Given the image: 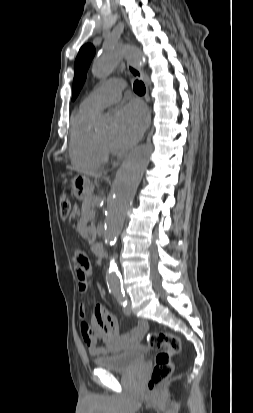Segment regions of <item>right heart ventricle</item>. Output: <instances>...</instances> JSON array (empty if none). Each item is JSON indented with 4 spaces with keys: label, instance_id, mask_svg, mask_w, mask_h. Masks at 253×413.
<instances>
[{
    "label": "right heart ventricle",
    "instance_id": "e07e8e85",
    "mask_svg": "<svg viewBox=\"0 0 253 413\" xmlns=\"http://www.w3.org/2000/svg\"><path fill=\"white\" fill-rule=\"evenodd\" d=\"M96 114L81 106L71 118L69 156L77 166L93 169L107 161L106 146L91 130Z\"/></svg>",
    "mask_w": 253,
    "mask_h": 413
}]
</instances>
